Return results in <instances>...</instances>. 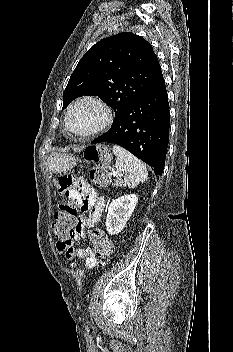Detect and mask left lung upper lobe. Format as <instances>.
Here are the masks:
<instances>
[{
    "label": "left lung upper lobe",
    "mask_w": 233,
    "mask_h": 352,
    "mask_svg": "<svg viewBox=\"0 0 233 352\" xmlns=\"http://www.w3.org/2000/svg\"><path fill=\"white\" fill-rule=\"evenodd\" d=\"M163 77L152 46L130 32L104 38L81 58L63 92V109L83 95L98 96L117 116Z\"/></svg>",
    "instance_id": "obj_1"
}]
</instances>
